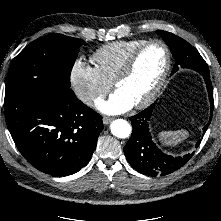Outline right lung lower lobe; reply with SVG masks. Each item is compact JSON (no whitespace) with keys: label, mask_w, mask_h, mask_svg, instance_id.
Listing matches in <instances>:
<instances>
[{"label":"right lung lower lobe","mask_w":221,"mask_h":221,"mask_svg":"<svg viewBox=\"0 0 221 221\" xmlns=\"http://www.w3.org/2000/svg\"><path fill=\"white\" fill-rule=\"evenodd\" d=\"M7 127L24 158L54 177L78 172L90 160L103 130L102 116L71 89L56 86L41 95H5Z\"/></svg>","instance_id":"1"}]
</instances>
